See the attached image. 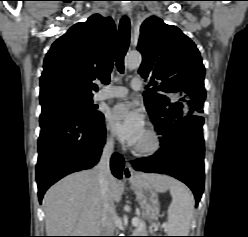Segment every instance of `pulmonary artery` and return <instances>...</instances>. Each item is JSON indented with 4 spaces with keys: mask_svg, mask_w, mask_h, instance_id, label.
<instances>
[{
    "mask_svg": "<svg viewBox=\"0 0 248 237\" xmlns=\"http://www.w3.org/2000/svg\"><path fill=\"white\" fill-rule=\"evenodd\" d=\"M131 87L135 91L140 90L142 88V80L140 78H133L131 81ZM128 93V88L123 86H115L99 92L96 95L95 100L103 101L110 98H123L126 97Z\"/></svg>",
    "mask_w": 248,
    "mask_h": 237,
    "instance_id": "1",
    "label": "pulmonary artery"
}]
</instances>
